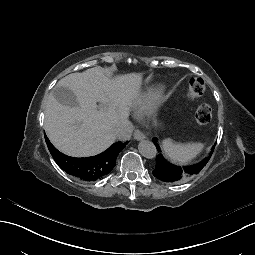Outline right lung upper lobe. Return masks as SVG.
<instances>
[{
    "label": "right lung upper lobe",
    "mask_w": 255,
    "mask_h": 255,
    "mask_svg": "<svg viewBox=\"0 0 255 255\" xmlns=\"http://www.w3.org/2000/svg\"><path fill=\"white\" fill-rule=\"evenodd\" d=\"M48 149L55 160V162L63 169L66 173L73 175L83 181V166L90 162L94 166V179L103 178L108 175L116 164V158L120 151L125 148L126 143L117 142L110 146L103 153L87 158H74L64 155L59 152L47 139ZM90 182V181H88Z\"/></svg>",
    "instance_id": "1"
}]
</instances>
